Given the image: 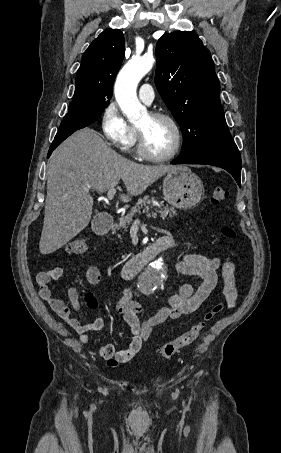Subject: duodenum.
Wrapping results in <instances>:
<instances>
[{
	"label": "duodenum",
	"instance_id": "410a0bca",
	"mask_svg": "<svg viewBox=\"0 0 281 453\" xmlns=\"http://www.w3.org/2000/svg\"><path fill=\"white\" fill-rule=\"evenodd\" d=\"M112 226L110 217H100L94 222V231L97 235H103L109 231ZM170 248V243L163 237L150 244L144 250L132 257L123 267L121 276L124 279H130L135 276L150 260L160 252Z\"/></svg>",
	"mask_w": 281,
	"mask_h": 453
}]
</instances>
